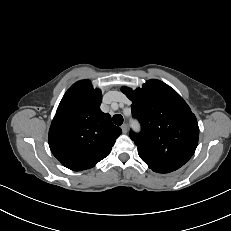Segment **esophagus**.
Here are the masks:
<instances>
[{
  "mask_svg": "<svg viewBox=\"0 0 231 231\" xmlns=\"http://www.w3.org/2000/svg\"><path fill=\"white\" fill-rule=\"evenodd\" d=\"M121 129H122V132H123L124 134H126L127 131H128V128H127V125H126V124H123V125L121 126Z\"/></svg>",
  "mask_w": 231,
  "mask_h": 231,
  "instance_id": "1",
  "label": "esophagus"
}]
</instances>
